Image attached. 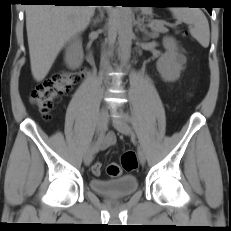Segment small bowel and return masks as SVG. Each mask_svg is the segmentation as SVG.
<instances>
[{
    "label": "small bowel",
    "instance_id": "1",
    "mask_svg": "<svg viewBox=\"0 0 231 231\" xmlns=\"http://www.w3.org/2000/svg\"><path fill=\"white\" fill-rule=\"evenodd\" d=\"M115 142V135L111 132L107 133L104 138L99 142L97 150H105L112 146Z\"/></svg>",
    "mask_w": 231,
    "mask_h": 231
}]
</instances>
